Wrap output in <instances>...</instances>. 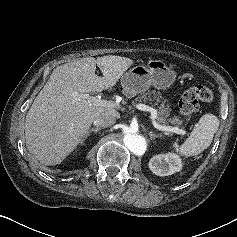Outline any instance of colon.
Returning a JSON list of instances; mask_svg holds the SVG:
<instances>
[{
    "label": "colon",
    "mask_w": 237,
    "mask_h": 237,
    "mask_svg": "<svg viewBox=\"0 0 237 237\" xmlns=\"http://www.w3.org/2000/svg\"><path fill=\"white\" fill-rule=\"evenodd\" d=\"M213 100L212 90L203 85L188 88L181 96L179 108L183 115L191 116L199 109V101L211 102Z\"/></svg>",
    "instance_id": "colon-1"
}]
</instances>
